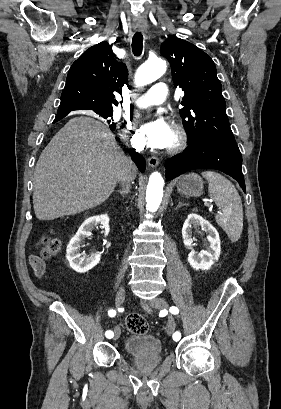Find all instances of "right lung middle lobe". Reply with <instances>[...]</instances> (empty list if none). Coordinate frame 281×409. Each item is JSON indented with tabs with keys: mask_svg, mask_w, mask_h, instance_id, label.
<instances>
[{
	"mask_svg": "<svg viewBox=\"0 0 281 409\" xmlns=\"http://www.w3.org/2000/svg\"><path fill=\"white\" fill-rule=\"evenodd\" d=\"M96 113L105 119L113 115V111H102V112H96Z\"/></svg>",
	"mask_w": 281,
	"mask_h": 409,
	"instance_id": "dd1d6c3e",
	"label": "right lung middle lobe"
}]
</instances>
